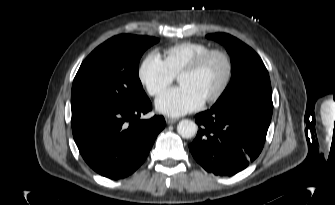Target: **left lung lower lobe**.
<instances>
[{"label":"left lung lower lobe","instance_id":"left-lung-lower-lobe-1","mask_svg":"<svg viewBox=\"0 0 335 205\" xmlns=\"http://www.w3.org/2000/svg\"><path fill=\"white\" fill-rule=\"evenodd\" d=\"M272 117V107L239 101L196 115L200 125L189 149L208 172L232 176L261 153Z\"/></svg>","mask_w":335,"mask_h":205}]
</instances>
